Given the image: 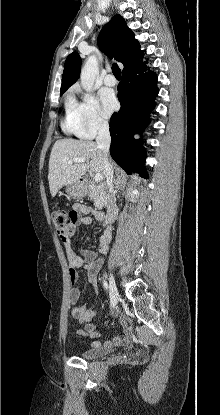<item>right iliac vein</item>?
<instances>
[{
	"label": "right iliac vein",
	"mask_w": 220,
	"mask_h": 415,
	"mask_svg": "<svg viewBox=\"0 0 220 415\" xmlns=\"http://www.w3.org/2000/svg\"><path fill=\"white\" fill-rule=\"evenodd\" d=\"M109 291H110V296H111V304L114 307L118 303V300L120 298V294L117 290L115 280H114L113 275H112L111 272H109Z\"/></svg>",
	"instance_id": "right-iliac-vein-1"
}]
</instances>
